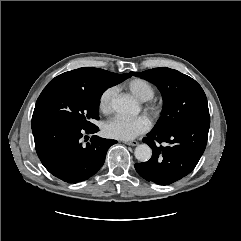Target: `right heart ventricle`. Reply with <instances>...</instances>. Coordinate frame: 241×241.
Wrapping results in <instances>:
<instances>
[{
    "mask_svg": "<svg viewBox=\"0 0 241 241\" xmlns=\"http://www.w3.org/2000/svg\"><path fill=\"white\" fill-rule=\"evenodd\" d=\"M127 89L141 101H148L155 94L154 87L145 79L135 78L127 83Z\"/></svg>",
    "mask_w": 241,
    "mask_h": 241,
    "instance_id": "1",
    "label": "right heart ventricle"
}]
</instances>
